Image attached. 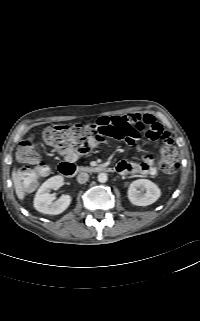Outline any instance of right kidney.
<instances>
[{
	"instance_id": "obj_1",
	"label": "right kidney",
	"mask_w": 200,
	"mask_h": 321,
	"mask_svg": "<svg viewBox=\"0 0 200 321\" xmlns=\"http://www.w3.org/2000/svg\"><path fill=\"white\" fill-rule=\"evenodd\" d=\"M62 176H53L46 180L38 189L34 198V207L43 214L57 215L64 212L71 203L70 195H62L53 202L54 195L50 194L51 189H58L63 185Z\"/></svg>"
}]
</instances>
